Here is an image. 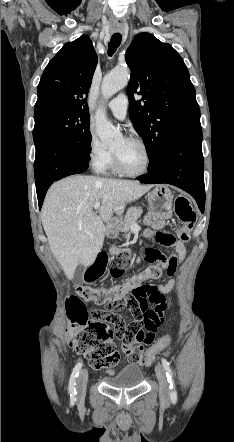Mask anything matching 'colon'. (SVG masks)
<instances>
[{"label":"colon","instance_id":"obj_1","mask_svg":"<svg viewBox=\"0 0 234 442\" xmlns=\"http://www.w3.org/2000/svg\"><path fill=\"white\" fill-rule=\"evenodd\" d=\"M174 208L180 222L177 237L181 241H187L196 220V213L184 195L176 196ZM155 239L163 246H171L176 240L172 234L158 235ZM160 254L157 249L151 247L144 249V258L150 263H157ZM130 263V257L127 254H121L115 257L107 267V256L100 253L87 269L85 280L88 282L97 281L106 274L108 280L119 278ZM163 270L159 264H153L131 279L134 282L156 279L162 275ZM84 302H94L98 305L108 304L112 310L126 308L131 311L134 317L136 314H163L166 309L164 295L154 286L146 284L131 291H126L123 284L113 287L79 286L77 288V295L70 297L67 301V314L70 320L68 328L70 346L83 354L92 367L108 371H111L118 361V353L112 342L113 333L112 331L110 333L95 331L94 328L87 327V320L92 319L94 314H100V311L91 312V318H89ZM169 343L170 338L166 336L149 345L143 361L144 366H151Z\"/></svg>","mask_w":234,"mask_h":442}]
</instances>
